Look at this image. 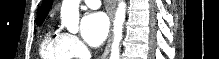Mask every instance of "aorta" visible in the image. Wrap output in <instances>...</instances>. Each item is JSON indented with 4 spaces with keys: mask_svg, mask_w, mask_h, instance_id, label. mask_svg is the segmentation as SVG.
<instances>
[{
    "mask_svg": "<svg viewBox=\"0 0 219 59\" xmlns=\"http://www.w3.org/2000/svg\"><path fill=\"white\" fill-rule=\"evenodd\" d=\"M79 4L80 0H63L61 6V23L69 32L79 30ZM126 3L120 1L114 19V38L111 47L110 59H119L120 42L122 40L123 25L125 22Z\"/></svg>",
    "mask_w": 219,
    "mask_h": 59,
    "instance_id": "762f6f07",
    "label": "aorta"
}]
</instances>
